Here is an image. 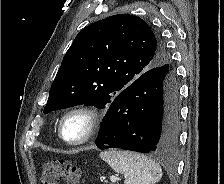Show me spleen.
I'll return each mask as SVG.
<instances>
[{
	"mask_svg": "<svg viewBox=\"0 0 224 184\" xmlns=\"http://www.w3.org/2000/svg\"><path fill=\"white\" fill-rule=\"evenodd\" d=\"M100 158L114 171L126 176L124 184H155L162 177L161 167L139 153L111 150L101 152Z\"/></svg>",
	"mask_w": 224,
	"mask_h": 184,
	"instance_id": "spleen-1",
	"label": "spleen"
}]
</instances>
